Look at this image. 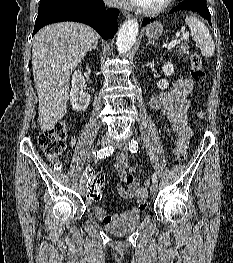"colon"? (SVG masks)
<instances>
[{"instance_id":"obj_1","label":"colon","mask_w":233,"mask_h":263,"mask_svg":"<svg viewBox=\"0 0 233 263\" xmlns=\"http://www.w3.org/2000/svg\"><path fill=\"white\" fill-rule=\"evenodd\" d=\"M191 61V77L200 86L205 80V71L203 62L198 54H192ZM69 125L66 120L56 122L53 127L42 132L38 137V143L43 150L44 155L53 163L55 168L61 167V156L66 149V140ZM186 152L182 151L177 155L179 161L184 160ZM88 180V190H84L89 202H100V193L104 187V179L102 175H95L94 171H89L86 176ZM149 181H145L143 188L148 189Z\"/></svg>"}]
</instances>
